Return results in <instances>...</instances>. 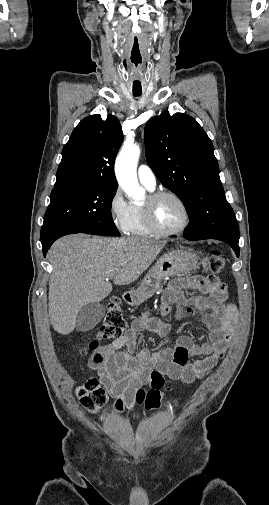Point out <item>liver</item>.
<instances>
[{"instance_id":"1","label":"liver","mask_w":269,"mask_h":505,"mask_svg":"<svg viewBox=\"0 0 269 505\" xmlns=\"http://www.w3.org/2000/svg\"><path fill=\"white\" fill-rule=\"evenodd\" d=\"M162 243L148 238H104L74 234L57 240L48 252L49 316L55 331L70 334L80 309L100 302L115 285L134 282L152 264Z\"/></svg>"}]
</instances>
